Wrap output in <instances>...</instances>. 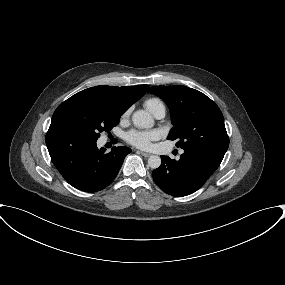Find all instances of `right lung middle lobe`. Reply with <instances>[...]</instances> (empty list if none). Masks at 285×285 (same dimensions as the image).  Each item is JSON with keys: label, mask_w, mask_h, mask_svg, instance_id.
<instances>
[{"label": "right lung middle lobe", "mask_w": 285, "mask_h": 285, "mask_svg": "<svg viewBox=\"0 0 285 285\" xmlns=\"http://www.w3.org/2000/svg\"><path fill=\"white\" fill-rule=\"evenodd\" d=\"M121 115V112L103 104L62 103L55 110L51 123L68 126L97 140L101 132H109L119 123Z\"/></svg>", "instance_id": "1"}]
</instances>
